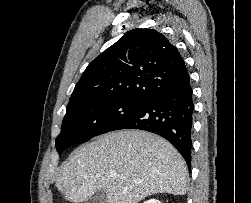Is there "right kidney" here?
<instances>
[{
  "label": "right kidney",
  "instance_id": "right-kidney-1",
  "mask_svg": "<svg viewBox=\"0 0 251 203\" xmlns=\"http://www.w3.org/2000/svg\"><path fill=\"white\" fill-rule=\"evenodd\" d=\"M143 203H161V202L159 200H157V199H149V200H147V201H145Z\"/></svg>",
  "mask_w": 251,
  "mask_h": 203
}]
</instances>
